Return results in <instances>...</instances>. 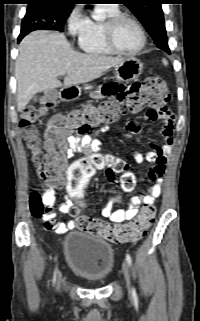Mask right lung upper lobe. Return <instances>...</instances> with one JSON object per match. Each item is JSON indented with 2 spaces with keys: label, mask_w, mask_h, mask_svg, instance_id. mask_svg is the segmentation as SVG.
<instances>
[{
  "label": "right lung upper lobe",
  "mask_w": 200,
  "mask_h": 321,
  "mask_svg": "<svg viewBox=\"0 0 200 321\" xmlns=\"http://www.w3.org/2000/svg\"><path fill=\"white\" fill-rule=\"evenodd\" d=\"M27 1H28V4L40 3V4L54 5L59 8L72 9L74 4H76L79 0H27Z\"/></svg>",
  "instance_id": "cb5924a9"
}]
</instances>
